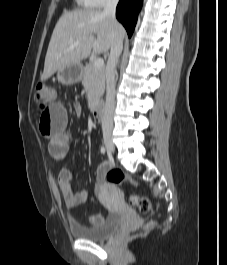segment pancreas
I'll list each match as a JSON object with an SVG mask.
<instances>
[{
    "label": "pancreas",
    "instance_id": "1",
    "mask_svg": "<svg viewBox=\"0 0 227 265\" xmlns=\"http://www.w3.org/2000/svg\"><path fill=\"white\" fill-rule=\"evenodd\" d=\"M82 85L88 90L90 97V106L97 103L104 93L105 73L104 68H96L94 61H91L83 71Z\"/></svg>",
    "mask_w": 227,
    "mask_h": 265
}]
</instances>
